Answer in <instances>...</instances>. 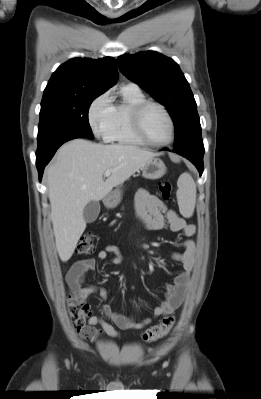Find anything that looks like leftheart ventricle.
I'll list each match as a JSON object with an SVG mask.
<instances>
[{"instance_id":"1","label":"left heart ventricle","mask_w":261,"mask_h":399,"mask_svg":"<svg viewBox=\"0 0 261 399\" xmlns=\"http://www.w3.org/2000/svg\"><path fill=\"white\" fill-rule=\"evenodd\" d=\"M143 126L148 137L156 142H165L170 137V125L164 113L156 108H148L143 115Z\"/></svg>"}]
</instances>
